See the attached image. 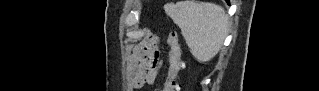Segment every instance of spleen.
I'll use <instances>...</instances> for the list:
<instances>
[{
    "mask_svg": "<svg viewBox=\"0 0 319 91\" xmlns=\"http://www.w3.org/2000/svg\"><path fill=\"white\" fill-rule=\"evenodd\" d=\"M164 10L180 28L194 58L204 63L216 56L229 28V17L221 6L184 0L167 3Z\"/></svg>",
    "mask_w": 319,
    "mask_h": 91,
    "instance_id": "spleen-1",
    "label": "spleen"
}]
</instances>
